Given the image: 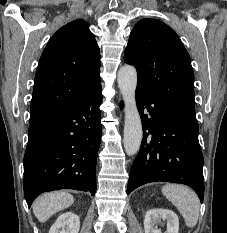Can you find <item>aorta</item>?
<instances>
[{
    "label": "aorta",
    "instance_id": "obj_1",
    "mask_svg": "<svg viewBox=\"0 0 227 233\" xmlns=\"http://www.w3.org/2000/svg\"><path fill=\"white\" fill-rule=\"evenodd\" d=\"M118 87L124 100V149L127 155H134L141 146L143 137L141 118L136 106L135 91L137 71L131 65H125L118 71Z\"/></svg>",
    "mask_w": 227,
    "mask_h": 233
}]
</instances>
